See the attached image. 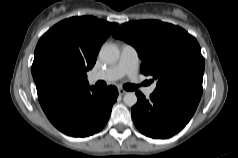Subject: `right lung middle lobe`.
<instances>
[{
	"label": "right lung middle lobe",
	"mask_w": 238,
	"mask_h": 158,
	"mask_svg": "<svg viewBox=\"0 0 238 158\" xmlns=\"http://www.w3.org/2000/svg\"><path fill=\"white\" fill-rule=\"evenodd\" d=\"M34 70L42 80L64 84L74 83V73L70 61L56 50H48L42 53L35 64Z\"/></svg>",
	"instance_id": "dd1d6c3e"
}]
</instances>
